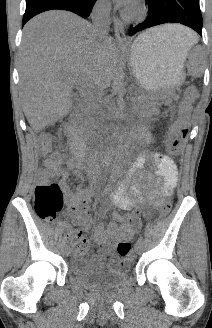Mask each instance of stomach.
Returning <instances> with one entry per match:
<instances>
[{"label": "stomach", "mask_w": 212, "mask_h": 328, "mask_svg": "<svg viewBox=\"0 0 212 328\" xmlns=\"http://www.w3.org/2000/svg\"><path fill=\"white\" fill-rule=\"evenodd\" d=\"M183 49L166 39L142 37L132 45L130 65L146 91L180 83L184 78Z\"/></svg>", "instance_id": "0dacf381"}]
</instances>
